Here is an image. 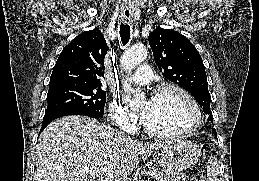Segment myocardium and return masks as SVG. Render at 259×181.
Wrapping results in <instances>:
<instances>
[{
	"mask_svg": "<svg viewBox=\"0 0 259 181\" xmlns=\"http://www.w3.org/2000/svg\"><path fill=\"white\" fill-rule=\"evenodd\" d=\"M167 91H176L187 99V101L191 105L193 112H194V120H193L192 125L189 128H187L185 130H180V131H158V130H155V129H152L151 127H149L147 125V123L145 122L143 116L141 115V117H140L141 127L147 134L154 136V137H158V138H181V137H187V136L193 134L199 128V126L202 122L201 108H200L199 104L197 103L196 99L185 88H183L182 86H180L178 84H174V83L163 84V85L155 88L151 93V98L157 97L160 94L167 92Z\"/></svg>",
	"mask_w": 259,
	"mask_h": 181,
	"instance_id": "obj_1",
	"label": "myocardium"
}]
</instances>
